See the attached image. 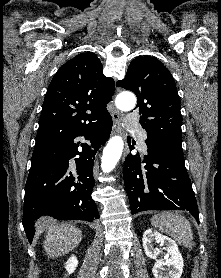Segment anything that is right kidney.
Instances as JSON below:
<instances>
[{
	"instance_id": "obj_1",
	"label": "right kidney",
	"mask_w": 221,
	"mask_h": 278,
	"mask_svg": "<svg viewBox=\"0 0 221 278\" xmlns=\"http://www.w3.org/2000/svg\"><path fill=\"white\" fill-rule=\"evenodd\" d=\"M78 265V260L76 256H72L66 262L65 269L67 270L68 274H72Z\"/></svg>"
}]
</instances>
